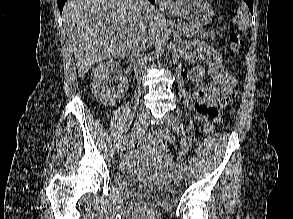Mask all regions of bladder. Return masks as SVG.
Instances as JSON below:
<instances>
[{
    "label": "bladder",
    "mask_w": 293,
    "mask_h": 219,
    "mask_svg": "<svg viewBox=\"0 0 293 219\" xmlns=\"http://www.w3.org/2000/svg\"><path fill=\"white\" fill-rule=\"evenodd\" d=\"M113 185L120 192L158 209L174 207L179 200L178 188L166 180H147L127 169L113 175Z\"/></svg>",
    "instance_id": "31cf9c89"
}]
</instances>
